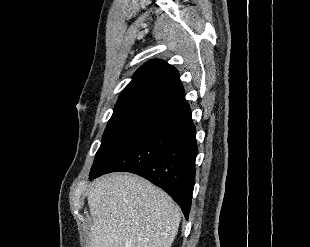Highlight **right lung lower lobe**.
I'll return each mask as SVG.
<instances>
[{"label": "right lung lower lobe", "mask_w": 310, "mask_h": 247, "mask_svg": "<svg viewBox=\"0 0 310 247\" xmlns=\"http://www.w3.org/2000/svg\"><path fill=\"white\" fill-rule=\"evenodd\" d=\"M198 153L196 129L186 100L148 120L90 179L126 171L140 175L165 190L188 219Z\"/></svg>", "instance_id": "right-lung-lower-lobe-1"}]
</instances>
